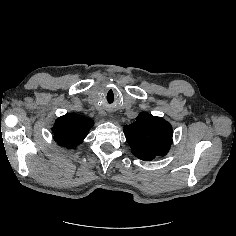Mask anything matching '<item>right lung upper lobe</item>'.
<instances>
[{"mask_svg":"<svg viewBox=\"0 0 236 236\" xmlns=\"http://www.w3.org/2000/svg\"><path fill=\"white\" fill-rule=\"evenodd\" d=\"M93 121L75 113H68L56 120L52 129L55 141L66 148H75L82 143Z\"/></svg>","mask_w":236,"mask_h":236,"instance_id":"right-lung-upper-lobe-1","label":"right lung upper lobe"}]
</instances>
